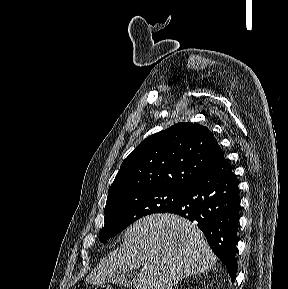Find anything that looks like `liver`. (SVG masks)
I'll return each instance as SVG.
<instances>
[{
    "mask_svg": "<svg viewBox=\"0 0 288 289\" xmlns=\"http://www.w3.org/2000/svg\"><path fill=\"white\" fill-rule=\"evenodd\" d=\"M216 260L194 223L174 214H152L127 228L123 244L102 259L86 281L100 286L117 272L132 277V270L142 267L129 287L173 289L182 278L210 270Z\"/></svg>",
    "mask_w": 288,
    "mask_h": 289,
    "instance_id": "obj_1",
    "label": "liver"
}]
</instances>
